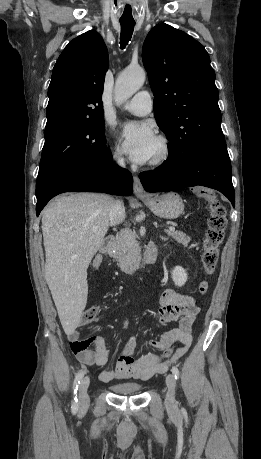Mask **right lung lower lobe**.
Returning a JSON list of instances; mask_svg holds the SVG:
<instances>
[{
	"label": "right lung lower lobe",
	"mask_w": 261,
	"mask_h": 459,
	"mask_svg": "<svg viewBox=\"0 0 261 459\" xmlns=\"http://www.w3.org/2000/svg\"><path fill=\"white\" fill-rule=\"evenodd\" d=\"M105 192L114 195H131L133 178L130 172L113 163L80 164L64 169L36 186V213L54 196L69 192Z\"/></svg>",
	"instance_id": "right-lung-lower-lobe-1"
}]
</instances>
